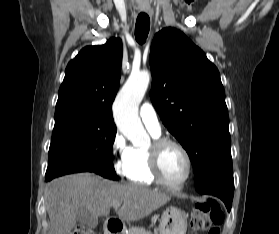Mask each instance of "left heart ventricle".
Wrapping results in <instances>:
<instances>
[{"mask_svg": "<svg viewBox=\"0 0 279 234\" xmlns=\"http://www.w3.org/2000/svg\"><path fill=\"white\" fill-rule=\"evenodd\" d=\"M161 168L164 177L169 182H180L187 171V163L183 153L173 145L166 146L161 157Z\"/></svg>", "mask_w": 279, "mask_h": 234, "instance_id": "b2bd125f", "label": "left heart ventricle"}]
</instances>
